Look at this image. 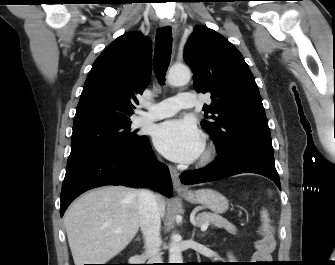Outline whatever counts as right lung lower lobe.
<instances>
[{"label":"right lung lower lobe","instance_id":"98d812e1","mask_svg":"<svg viewBox=\"0 0 335 265\" xmlns=\"http://www.w3.org/2000/svg\"><path fill=\"white\" fill-rule=\"evenodd\" d=\"M104 185L151 187L172 195L169 169L156 162L147 137L131 150H88L70 155L60 197L61 217L79 195Z\"/></svg>","mask_w":335,"mask_h":265}]
</instances>
